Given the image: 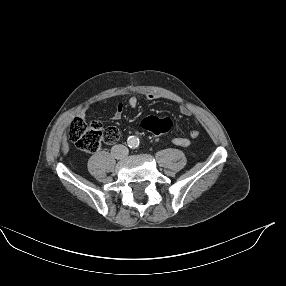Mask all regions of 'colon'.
I'll use <instances>...</instances> for the list:
<instances>
[{"label": "colon", "mask_w": 286, "mask_h": 286, "mask_svg": "<svg viewBox=\"0 0 286 286\" xmlns=\"http://www.w3.org/2000/svg\"><path fill=\"white\" fill-rule=\"evenodd\" d=\"M140 126L148 134L167 136L173 127V121L171 118L160 114L148 113L142 117ZM67 137L80 150L95 152L102 143L114 144L117 142L120 132L114 126L103 129L98 122L87 123L81 118H75L68 129Z\"/></svg>", "instance_id": "1"}]
</instances>
